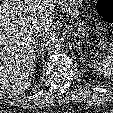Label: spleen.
<instances>
[{
	"label": "spleen",
	"instance_id": "1",
	"mask_svg": "<svg viewBox=\"0 0 113 113\" xmlns=\"http://www.w3.org/2000/svg\"><path fill=\"white\" fill-rule=\"evenodd\" d=\"M90 67L94 69L97 74L104 77H113V43L109 47L108 54L100 61H92Z\"/></svg>",
	"mask_w": 113,
	"mask_h": 113
}]
</instances>
